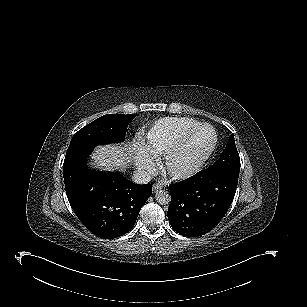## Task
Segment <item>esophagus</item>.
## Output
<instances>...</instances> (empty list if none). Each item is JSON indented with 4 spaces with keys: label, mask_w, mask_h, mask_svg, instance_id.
I'll return each mask as SVG.
<instances>
[{
    "label": "esophagus",
    "mask_w": 307,
    "mask_h": 307,
    "mask_svg": "<svg viewBox=\"0 0 307 307\" xmlns=\"http://www.w3.org/2000/svg\"><path fill=\"white\" fill-rule=\"evenodd\" d=\"M161 189V185H159V184H154L153 185V191L154 192H157L158 190H160Z\"/></svg>",
    "instance_id": "34e87169"
}]
</instances>
